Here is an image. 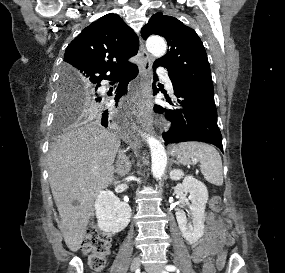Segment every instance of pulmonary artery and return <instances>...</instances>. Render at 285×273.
Listing matches in <instances>:
<instances>
[{
    "mask_svg": "<svg viewBox=\"0 0 285 273\" xmlns=\"http://www.w3.org/2000/svg\"><path fill=\"white\" fill-rule=\"evenodd\" d=\"M157 72H158V75H160L161 77L164 78L168 90H169L171 93H173V85H172V83H171V80H170V77H169V75H168L167 70L164 69V68H159V69L157 70Z\"/></svg>",
    "mask_w": 285,
    "mask_h": 273,
    "instance_id": "e3ab8cb5",
    "label": "pulmonary artery"
}]
</instances>
